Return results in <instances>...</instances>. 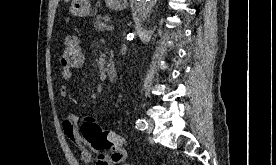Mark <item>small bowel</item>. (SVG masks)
I'll return each instance as SVG.
<instances>
[{"mask_svg": "<svg viewBox=\"0 0 276 165\" xmlns=\"http://www.w3.org/2000/svg\"><path fill=\"white\" fill-rule=\"evenodd\" d=\"M61 77L64 80H69L72 77V72L67 70H60ZM60 96L61 98H66L67 96V88L66 86L60 87ZM61 124L62 129L65 136L74 144L76 145L80 151L82 159L86 164H90L92 162V152L91 150L85 145L84 141L82 140L79 131H78V117L71 113H65L61 116ZM125 159V158H124ZM124 159H115L112 153L106 154L101 153L97 156L95 164L96 165H114L122 162Z\"/></svg>", "mask_w": 276, "mask_h": 165, "instance_id": "1", "label": "small bowel"}]
</instances>
